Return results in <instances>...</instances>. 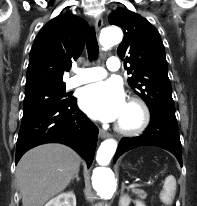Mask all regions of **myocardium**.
<instances>
[{
    "label": "myocardium",
    "mask_w": 197,
    "mask_h": 206,
    "mask_svg": "<svg viewBox=\"0 0 197 206\" xmlns=\"http://www.w3.org/2000/svg\"><path fill=\"white\" fill-rule=\"evenodd\" d=\"M129 106L133 107L137 114V121L132 125H127L119 121L116 124V130L128 136H134L142 133L150 123L151 114L148 105L146 102L139 97H131L128 100Z\"/></svg>",
    "instance_id": "f54148a6"
}]
</instances>
